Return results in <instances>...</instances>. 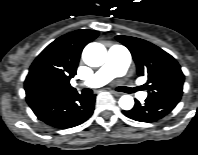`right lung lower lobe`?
Returning a JSON list of instances; mask_svg holds the SVG:
<instances>
[{
  "label": "right lung lower lobe",
  "instance_id": "obj_1",
  "mask_svg": "<svg viewBox=\"0 0 198 155\" xmlns=\"http://www.w3.org/2000/svg\"><path fill=\"white\" fill-rule=\"evenodd\" d=\"M95 95L82 97L77 92L63 97L45 100L31 109L46 124L55 128L75 127L90 118L94 110Z\"/></svg>",
  "mask_w": 198,
  "mask_h": 155
}]
</instances>
